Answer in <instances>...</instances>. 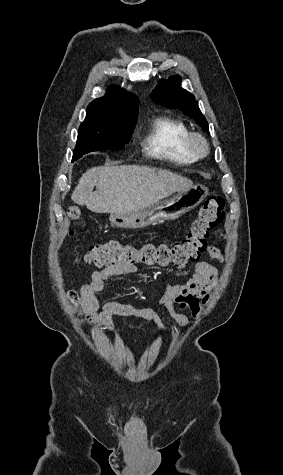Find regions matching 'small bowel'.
Returning <instances> with one entry per match:
<instances>
[{"label": "small bowel", "instance_id": "1", "mask_svg": "<svg viewBox=\"0 0 283 475\" xmlns=\"http://www.w3.org/2000/svg\"><path fill=\"white\" fill-rule=\"evenodd\" d=\"M225 228L223 225L220 227ZM220 230L218 233L219 242L225 243L226 230ZM208 254L212 259L223 261L224 257L221 251L214 245L208 247ZM141 273L135 265L119 264L107 265L95 270L90 278V281L82 286L81 303L85 313L84 320L95 330L105 333H111L115 330L113 322L114 316L121 317H136L150 321L155 329L163 332L162 320L159 313L151 308H137L128 304H123L116 301H109L102 305L96 297V294L103 290L105 282L120 275L139 276ZM218 269L207 261H200L195 264L192 278L184 284H170L162 283V298L160 303L168 310L174 312L175 304L187 308L191 311L194 317H199L201 307L204 306L209 299L210 293L217 281ZM189 300V305H184V300ZM182 329L186 330L188 327L187 321L184 319L178 320Z\"/></svg>", "mask_w": 283, "mask_h": 475}]
</instances>
